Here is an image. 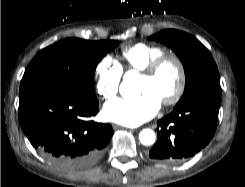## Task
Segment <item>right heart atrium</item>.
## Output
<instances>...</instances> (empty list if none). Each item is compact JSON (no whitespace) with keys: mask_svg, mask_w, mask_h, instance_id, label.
I'll return each mask as SVG.
<instances>
[{"mask_svg":"<svg viewBox=\"0 0 245 187\" xmlns=\"http://www.w3.org/2000/svg\"><path fill=\"white\" fill-rule=\"evenodd\" d=\"M96 92L104 101L117 97L122 78V68L111 56H104L95 70Z\"/></svg>","mask_w":245,"mask_h":187,"instance_id":"right-heart-atrium-1","label":"right heart atrium"}]
</instances>
